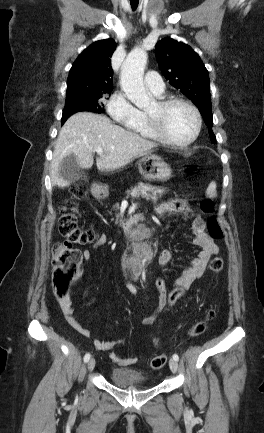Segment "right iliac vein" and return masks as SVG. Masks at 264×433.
<instances>
[{"label": "right iliac vein", "mask_w": 264, "mask_h": 433, "mask_svg": "<svg viewBox=\"0 0 264 433\" xmlns=\"http://www.w3.org/2000/svg\"><path fill=\"white\" fill-rule=\"evenodd\" d=\"M95 358H91L87 364L88 371H92L95 367Z\"/></svg>", "instance_id": "63e3f726"}]
</instances>
